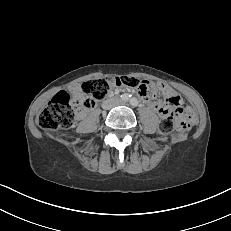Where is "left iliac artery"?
Masks as SVG:
<instances>
[{"label": "left iliac artery", "instance_id": "44dca946", "mask_svg": "<svg viewBox=\"0 0 231 231\" xmlns=\"http://www.w3.org/2000/svg\"><path fill=\"white\" fill-rule=\"evenodd\" d=\"M130 104L133 106V107H136L138 106V100L136 98H132L130 100Z\"/></svg>", "mask_w": 231, "mask_h": 231}]
</instances>
